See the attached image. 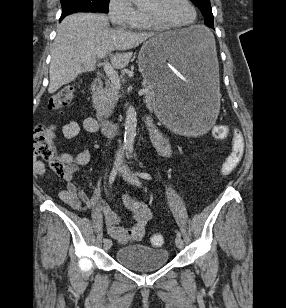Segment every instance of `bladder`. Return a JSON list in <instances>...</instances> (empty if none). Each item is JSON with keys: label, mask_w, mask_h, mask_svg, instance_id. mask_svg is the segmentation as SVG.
I'll use <instances>...</instances> for the list:
<instances>
[{"label": "bladder", "mask_w": 286, "mask_h": 308, "mask_svg": "<svg viewBox=\"0 0 286 308\" xmlns=\"http://www.w3.org/2000/svg\"><path fill=\"white\" fill-rule=\"evenodd\" d=\"M116 261L137 272H150L162 268L169 259L167 249L150 248L144 244H128L120 246L115 253Z\"/></svg>", "instance_id": "bladder-1"}]
</instances>
